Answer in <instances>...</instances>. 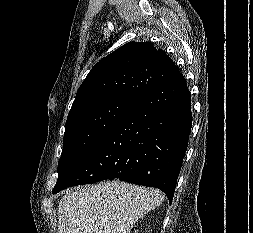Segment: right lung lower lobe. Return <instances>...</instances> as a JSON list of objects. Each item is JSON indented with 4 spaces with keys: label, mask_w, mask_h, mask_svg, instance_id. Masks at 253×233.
<instances>
[{
    "label": "right lung lower lobe",
    "mask_w": 253,
    "mask_h": 233,
    "mask_svg": "<svg viewBox=\"0 0 253 233\" xmlns=\"http://www.w3.org/2000/svg\"><path fill=\"white\" fill-rule=\"evenodd\" d=\"M191 127L190 92L182 73L177 72L137 98L52 193L119 179L159 188L171 203Z\"/></svg>",
    "instance_id": "1"
}]
</instances>
